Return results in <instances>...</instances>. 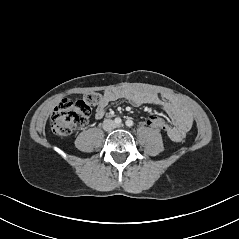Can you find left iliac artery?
<instances>
[{"instance_id":"left-iliac-artery-1","label":"left iliac artery","mask_w":239,"mask_h":239,"mask_svg":"<svg viewBox=\"0 0 239 239\" xmlns=\"http://www.w3.org/2000/svg\"><path fill=\"white\" fill-rule=\"evenodd\" d=\"M125 124H126V126H128V127H132L134 123H133L132 120L128 119V120L125 122Z\"/></svg>"}]
</instances>
